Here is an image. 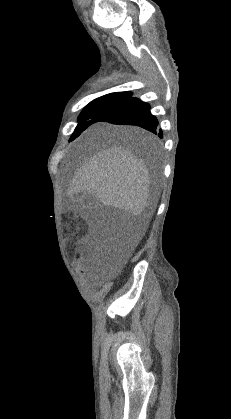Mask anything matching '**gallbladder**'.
Wrapping results in <instances>:
<instances>
[{
  "label": "gallbladder",
  "mask_w": 231,
  "mask_h": 419,
  "mask_svg": "<svg viewBox=\"0 0 231 419\" xmlns=\"http://www.w3.org/2000/svg\"><path fill=\"white\" fill-rule=\"evenodd\" d=\"M83 204L85 205V206H87V207H92L94 204H95V201H94V198H92L91 200H84L83 201Z\"/></svg>",
  "instance_id": "1"
}]
</instances>
